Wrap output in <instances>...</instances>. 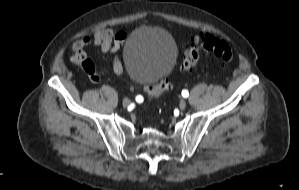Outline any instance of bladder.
I'll use <instances>...</instances> for the list:
<instances>
[{"label":"bladder","mask_w":299,"mask_h":190,"mask_svg":"<svg viewBox=\"0 0 299 190\" xmlns=\"http://www.w3.org/2000/svg\"><path fill=\"white\" fill-rule=\"evenodd\" d=\"M176 60L177 47L173 38L153 27L134 31L123 48L125 70L139 83H158L172 70Z\"/></svg>","instance_id":"31cf9c89"}]
</instances>
